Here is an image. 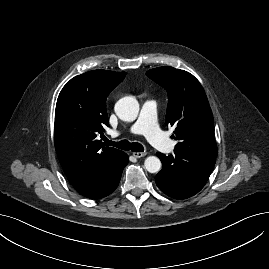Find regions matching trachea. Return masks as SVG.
<instances>
[{"mask_svg": "<svg viewBox=\"0 0 269 269\" xmlns=\"http://www.w3.org/2000/svg\"><path fill=\"white\" fill-rule=\"evenodd\" d=\"M106 145H112L114 147H117L119 149L122 150H131L133 152H143L144 151V147L137 142L131 143L128 140H122L119 142H113V141H109L108 139L105 140Z\"/></svg>", "mask_w": 269, "mask_h": 269, "instance_id": "trachea-1", "label": "trachea"}]
</instances>
